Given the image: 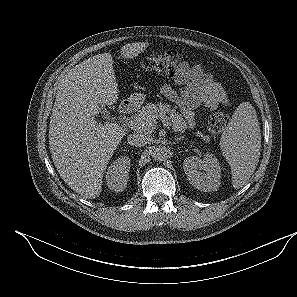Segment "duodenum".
<instances>
[{"label": "duodenum", "instance_id": "duodenum-1", "mask_svg": "<svg viewBox=\"0 0 297 297\" xmlns=\"http://www.w3.org/2000/svg\"><path fill=\"white\" fill-rule=\"evenodd\" d=\"M137 107V101L134 99L124 101L119 107V114L121 116H128L132 114Z\"/></svg>", "mask_w": 297, "mask_h": 297}]
</instances>
